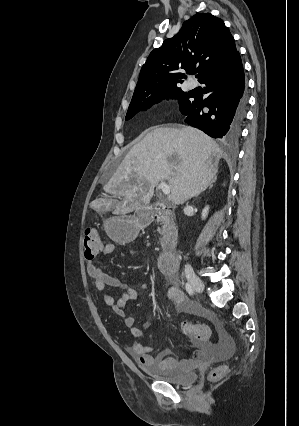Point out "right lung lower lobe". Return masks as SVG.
Wrapping results in <instances>:
<instances>
[{"label":"right lung lower lobe","instance_id":"1","mask_svg":"<svg viewBox=\"0 0 299 426\" xmlns=\"http://www.w3.org/2000/svg\"><path fill=\"white\" fill-rule=\"evenodd\" d=\"M200 83L206 85L208 97L193 96L181 113L185 122L213 138H235L244 120V72L239 53L224 67L208 73ZM208 108V111L206 110Z\"/></svg>","mask_w":299,"mask_h":426}]
</instances>
